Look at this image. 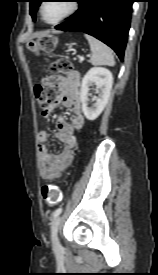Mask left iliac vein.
<instances>
[{
  "mask_svg": "<svg viewBox=\"0 0 158 275\" xmlns=\"http://www.w3.org/2000/svg\"><path fill=\"white\" fill-rule=\"evenodd\" d=\"M60 223H61V217H57L51 225V239H52L53 249L55 251L59 250L60 248V243L58 240V230H59Z\"/></svg>",
  "mask_w": 158,
  "mask_h": 275,
  "instance_id": "left-iliac-vein-1",
  "label": "left iliac vein"
}]
</instances>
